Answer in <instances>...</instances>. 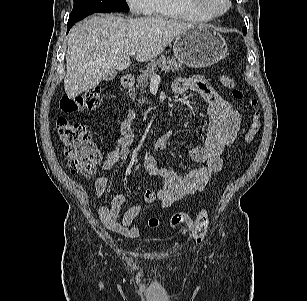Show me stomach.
Instances as JSON below:
<instances>
[{"instance_id":"0dacf381","label":"stomach","mask_w":307,"mask_h":301,"mask_svg":"<svg viewBox=\"0 0 307 301\" xmlns=\"http://www.w3.org/2000/svg\"><path fill=\"white\" fill-rule=\"evenodd\" d=\"M173 53L179 63L193 68L209 67L225 57V39L210 26H193L176 36Z\"/></svg>"}]
</instances>
